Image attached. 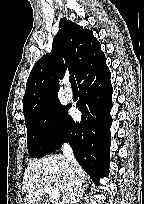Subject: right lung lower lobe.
Instances as JSON below:
<instances>
[{"label": "right lung lower lobe", "mask_w": 144, "mask_h": 204, "mask_svg": "<svg viewBox=\"0 0 144 204\" xmlns=\"http://www.w3.org/2000/svg\"><path fill=\"white\" fill-rule=\"evenodd\" d=\"M110 77L105 59L81 78L76 104L82 112L81 121L75 122L67 115L60 138L50 150L52 153L63 142L69 143L76 160L97 185L101 177L109 174L113 92Z\"/></svg>", "instance_id": "98d812e1"}]
</instances>
